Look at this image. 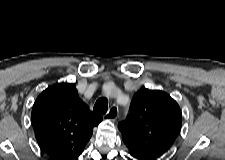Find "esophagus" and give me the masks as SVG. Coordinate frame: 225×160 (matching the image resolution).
Returning a JSON list of instances; mask_svg holds the SVG:
<instances>
[{
  "mask_svg": "<svg viewBox=\"0 0 225 160\" xmlns=\"http://www.w3.org/2000/svg\"><path fill=\"white\" fill-rule=\"evenodd\" d=\"M118 114V107L116 105H112L105 116L110 120H116Z\"/></svg>",
  "mask_w": 225,
  "mask_h": 160,
  "instance_id": "esophagus-1",
  "label": "esophagus"
}]
</instances>
